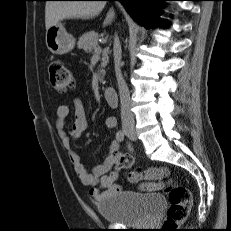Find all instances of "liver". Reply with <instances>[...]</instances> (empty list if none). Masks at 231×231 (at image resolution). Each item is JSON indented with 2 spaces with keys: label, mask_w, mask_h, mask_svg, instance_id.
<instances>
[{
  "label": "liver",
  "mask_w": 231,
  "mask_h": 231,
  "mask_svg": "<svg viewBox=\"0 0 231 231\" xmlns=\"http://www.w3.org/2000/svg\"><path fill=\"white\" fill-rule=\"evenodd\" d=\"M105 5V1H48L45 6L46 30L64 19L94 18L103 10ZM113 17L114 11L111 9L104 21V26L110 24Z\"/></svg>",
  "instance_id": "obj_1"
}]
</instances>
